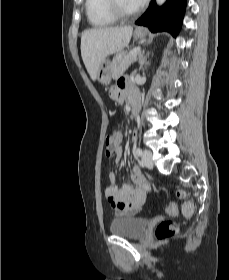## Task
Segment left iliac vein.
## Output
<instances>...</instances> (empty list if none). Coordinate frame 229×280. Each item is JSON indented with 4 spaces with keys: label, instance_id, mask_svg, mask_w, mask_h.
Segmentation results:
<instances>
[{
    "label": "left iliac vein",
    "instance_id": "1",
    "mask_svg": "<svg viewBox=\"0 0 229 280\" xmlns=\"http://www.w3.org/2000/svg\"><path fill=\"white\" fill-rule=\"evenodd\" d=\"M142 162L147 168H152L153 167L151 151H149L147 149L143 150Z\"/></svg>",
    "mask_w": 229,
    "mask_h": 280
}]
</instances>
